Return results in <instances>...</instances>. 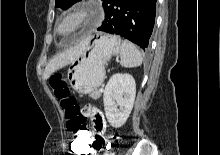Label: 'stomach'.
I'll return each instance as SVG.
<instances>
[{
  "instance_id": "1",
  "label": "stomach",
  "mask_w": 220,
  "mask_h": 155,
  "mask_svg": "<svg viewBox=\"0 0 220 155\" xmlns=\"http://www.w3.org/2000/svg\"><path fill=\"white\" fill-rule=\"evenodd\" d=\"M88 38V45L81 56L71 63L67 79L71 88L82 95L91 96L104 81L105 65L112 56L119 53L121 40L116 35L104 34Z\"/></svg>"
}]
</instances>
